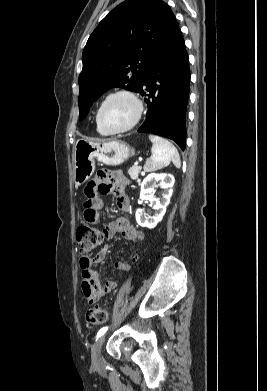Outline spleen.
Returning a JSON list of instances; mask_svg holds the SVG:
<instances>
[{
    "mask_svg": "<svg viewBox=\"0 0 267 391\" xmlns=\"http://www.w3.org/2000/svg\"><path fill=\"white\" fill-rule=\"evenodd\" d=\"M152 142L151 157L144 165L145 172H154L168 166L171 162L180 168V156L175 146L168 140L156 135H149Z\"/></svg>",
    "mask_w": 267,
    "mask_h": 391,
    "instance_id": "obj_1",
    "label": "spleen"
}]
</instances>
